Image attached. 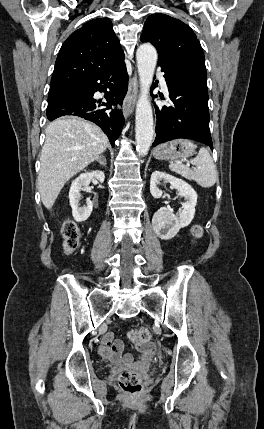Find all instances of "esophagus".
<instances>
[{"instance_id": "1", "label": "esophagus", "mask_w": 264, "mask_h": 429, "mask_svg": "<svg viewBox=\"0 0 264 429\" xmlns=\"http://www.w3.org/2000/svg\"><path fill=\"white\" fill-rule=\"evenodd\" d=\"M138 92H139V81H138L137 74L135 73L132 79L130 80L128 92L126 94V97L123 103V114L126 119L134 111V107L138 97Z\"/></svg>"}]
</instances>
